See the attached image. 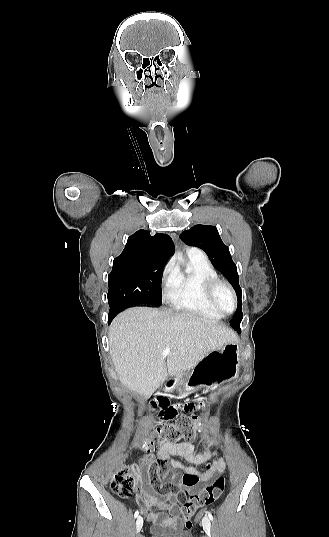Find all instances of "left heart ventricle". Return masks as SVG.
I'll list each match as a JSON object with an SVG mask.
<instances>
[{
  "label": "left heart ventricle",
  "instance_id": "1",
  "mask_svg": "<svg viewBox=\"0 0 329 537\" xmlns=\"http://www.w3.org/2000/svg\"><path fill=\"white\" fill-rule=\"evenodd\" d=\"M218 305L226 312H231L234 307V301L231 293L225 288H220L216 294Z\"/></svg>",
  "mask_w": 329,
  "mask_h": 537
}]
</instances>
